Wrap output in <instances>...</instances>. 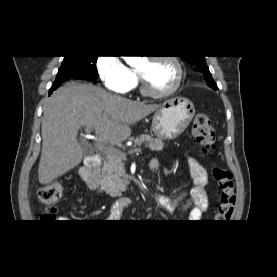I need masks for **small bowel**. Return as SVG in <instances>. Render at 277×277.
I'll return each mask as SVG.
<instances>
[{"mask_svg":"<svg viewBox=\"0 0 277 277\" xmlns=\"http://www.w3.org/2000/svg\"><path fill=\"white\" fill-rule=\"evenodd\" d=\"M187 167L192 177L193 184L189 189L181 190L176 196H168L157 194L156 201L166 210H174L182 201L188 199L186 210H188V218L190 220L201 219L203 213L208 208V176L204 166L195 158H187ZM149 168L155 171L159 168V160L153 158L149 162ZM127 200L116 202L111 209L112 219L119 218L123 209L127 206Z\"/></svg>","mask_w":277,"mask_h":277,"instance_id":"obj_1","label":"small bowel"}]
</instances>
